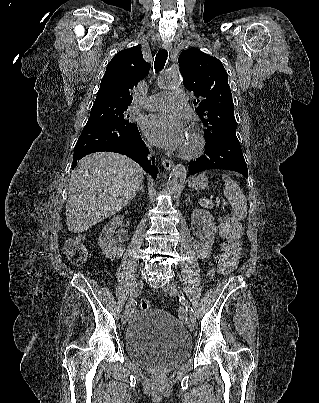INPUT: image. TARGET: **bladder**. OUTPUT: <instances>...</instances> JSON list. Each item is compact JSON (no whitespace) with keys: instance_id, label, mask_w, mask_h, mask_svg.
<instances>
[{"instance_id":"31cf9c89","label":"bladder","mask_w":319,"mask_h":403,"mask_svg":"<svg viewBox=\"0 0 319 403\" xmlns=\"http://www.w3.org/2000/svg\"><path fill=\"white\" fill-rule=\"evenodd\" d=\"M126 353L140 367L158 372L175 368L191 352V338L180 322L161 310L137 314L125 333Z\"/></svg>"}]
</instances>
